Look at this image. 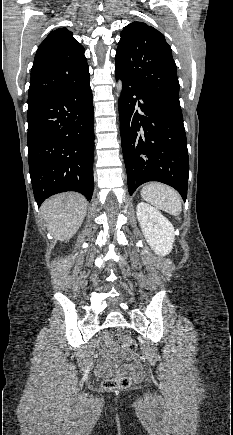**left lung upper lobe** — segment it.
<instances>
[{
	"label": "left lung upper lobe",
	"mask_w": 233,
	"mask_h": 435,
	"mask_svg": "<svg viewBox=\"0 0 233 435\" xmlns=\"http://www.w3.org/2000/svg\"><path fill=\"white\" fill-rule=\"evenodd\" d=\"M115 67L147 92L179 100L177 67L171 48L152 26L135 21L123 29Z\"/></svg>",
	"instance_id": "left-lung-upper-lobe-1"
}]
</instances>
